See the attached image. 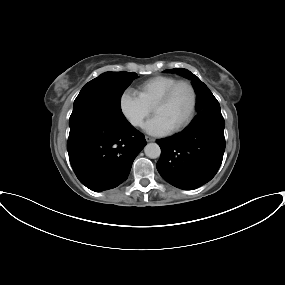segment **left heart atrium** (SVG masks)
I'll return each instance as SVG.
<instances>
[{
  "label": "left heart atrium",
  "mask_w": 285,
  "mask_h": 285,
  "mask_svg": "<svg viewBox=\"0 0 285 285\" xmlns=\"http://www.w3.org/2000/svg\"><path fill=\"white\" fill-rule=\"evenodd\" d=\"M144 129L147 133L154 136H163L172 130L160 116L156 115L144 125Z\"/></svg>",
  "instance_id": "1"
}]
</instances>
